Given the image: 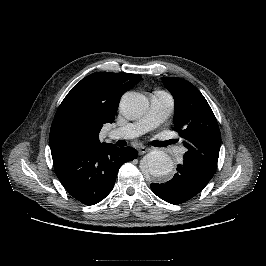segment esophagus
<instances>
[{
  "label": "esophagus",
  "instance_id": "esophagus-1",
  "mask_svg": "<svg viewBox=\"0 0 266 266\" xmlns=\"http://www.w3.org/2000/svg\"><path fill=\"white\" fill-rule=\"evenodd\" d=\"M137 150H138V153H139V154H144V153L148 152V148H146V147H144V146H139V147L137 148Z\"/></svg>",
  "mask_w": 266,
  "mask_h": 266
}]
</instances>
